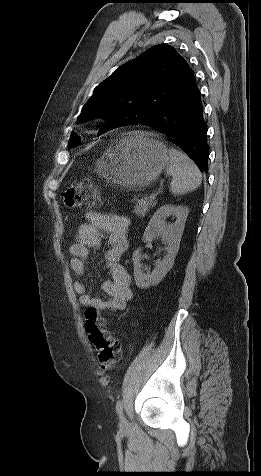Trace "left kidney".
Listing matches in <instances>:
<instances>
[{"label": "left kidney", "mask_w": 261, "mask_h": 476, "mask_svg": "<svg viewBox=\"0 0 261 476\" xmlns=\"http://www.w3.org/2000/svg\"><path fill=\"white\" fill-rule=\"evenodd\" d=\"M188 213V207L174 205L161 206L154 213L145 229L143 241L147 243L155 237H160L167 244V254L162 261L155 263V268L152 272L144 273L141 264V248H138L133 253L134 279L137 287L144 289L159 284L173 267ZM169 216L176 217L174 224L170 225L165 222V219Z\"/></svg>", "instance_id": "left-kidney-1"}]
</instances>
